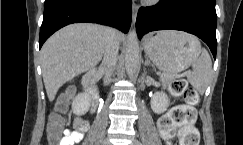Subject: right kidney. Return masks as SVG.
Returning <instances> with one entry per match:
<instances>
[{
    "mask_svg": "<svg viewBox=\"0 0 243 145\" xmlns=\"http://www.w3.org/2000/svg\"><path fill=\"white\" fill-rule=\"evenodd\" d=\"M90 96L86 93L78 94L72 102V110L76 115H84L90 107Z\"/></svg>",
    "mask_w": 243,
    "mask_h": 145,
    "instance_id": "right-kidney-1",
    "label": "right kidney"
}]
</instances>
